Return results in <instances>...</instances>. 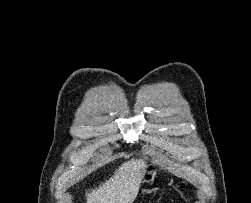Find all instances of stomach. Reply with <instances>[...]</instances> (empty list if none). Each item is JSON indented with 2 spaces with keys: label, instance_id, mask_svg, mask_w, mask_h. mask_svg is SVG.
Here are the masks:
<instances>
[{
  "label": "stomach",
  "instance_id": "1",
  "mask_svg": "<svg viewBox=\"0 0 251 203\" xmlns=\"http://www.w3.org/2000/svg\"><path fill=\"white\" fill-rule=\"evenodd\" d=\"M156 175H157V172L155 170L146 171L142 178V183L152 184L155 180Z\"/></svg>",
  "mask_w": 251,
  "mask_h": 203
}]
</instances>
